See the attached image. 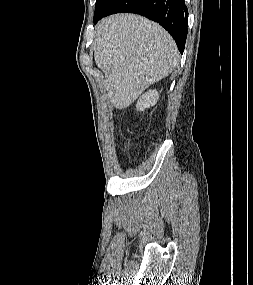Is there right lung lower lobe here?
<instances>
[{
  "mask_svg": "<svg viewBox=\"0 0 253 285\" xmlns=\"http://www.w3.org/2000/svg\"><path fill=\"white\" fill-rule=\"evenodd\" d=\"M120 12L140 14L158 22L171 34L183 53L188 19L184 0H113L100 16L94 18V24L105 16Z\"/></svg>",
  "mask_w": 253,
  "mask_h": 285,
  "instance_id": "right-lung-lower-lobe-1",
  "label": "right lung lower lobe"
}]
</instances>
